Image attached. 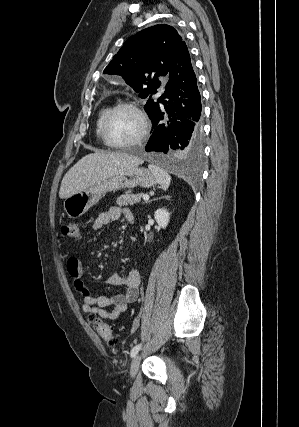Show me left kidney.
<instances>
[{"mask_svg":"<svg viewBox=\"0 0 299 427\" xmlns=\"http://www.w3.org/2000/svg\"><path fill=\"white\" fill-rule=\"evenodd\" d=\"M154 218L158 225L165 229L170 220V213L166 209L161 208L155 211Z\"/></svg>","mask_w":299,"mask_h":427,"instance_id":"1","label":"left kidney"}]
</instances>
